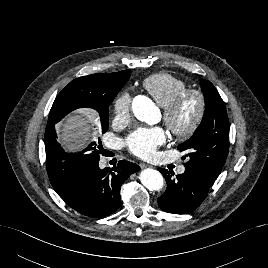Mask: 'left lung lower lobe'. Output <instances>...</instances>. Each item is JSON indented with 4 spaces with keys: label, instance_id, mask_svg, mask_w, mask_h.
<instances>
[{
    "label": "left lung lower lobe",
    "instance_id": "1",
    "mask_svg": "<svg viewBox=\"0 0 268 268\" xmlns=\"http://www.w3.org/2000/svg\"><path fill=\"white\" fill-rule=\"evenodd\" d=\"M165 177L167 189L157 201L169 213L186 214L194 211L206 198L215 179L196 168L185 167V172L173 178V172L159 168Z\"/></svg>",
    "mask_w": 268,
    "mask_h": 268
}]
</instances>
